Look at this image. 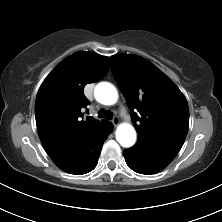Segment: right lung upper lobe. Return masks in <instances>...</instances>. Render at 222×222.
I'll list each match as a JSON object with an SVG mask.
<instances>
[{"label":"right lung upper lobe","mask_w":222,"mask_h":222,"mask_svg":"<svg viewBox=\"0 0 222 222\" xmlns=\"http://www.w3.org/2000/svg\"><path fill=\"white\" fill-rule=\"evenodd\" d=\"M109 67L108 57L80 51L61 61L38 90L35 102L38 133L59 168L86 157L91 142L112 126L93 117L83 119L82 115L89 104L83 93L85 85L102 79Z\"/></svg>","instance_id":"obj_1"}]
</instances>
